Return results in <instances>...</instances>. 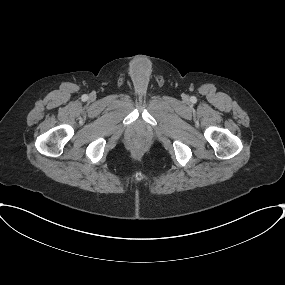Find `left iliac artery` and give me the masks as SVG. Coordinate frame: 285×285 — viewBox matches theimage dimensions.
Listing matches in <instances>:
<instances>
[{
  "instance_id": "obj_1",
  "label": "left iliac artery",
  "mask_w": 285,
  "mask_h": 285,
  "mask_svg": "<svg viewBox=\"0 0 285 285\" xmlns=\"http://www.w3.org/2000/svg\"><path fill=\"white\" fill-rule=\"evenodd\" d=\"M192 101H196V98L195 97H192V99H191Z\"/></svg>"
}]
</instances>
